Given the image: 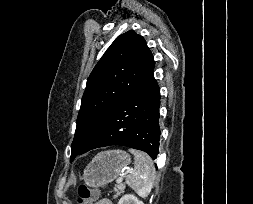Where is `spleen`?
Here are the masks:
<instances>
[{"label": "spleen", "instance_id": "spleen-1", "mask_svg": "<svg viewBox=\"0 0 253 204\" xmlns=\"http://www.w3.org/2000/svg\"><path fill=\"white\" fill-rule=\"evenodd\" d=\"M135 157L134 170L126 177V183L140 196L147 197L155 179V168L151 157L135 149H129Z\"/></svg>", "mask_w": 253, "mask_h": 204}]
</instances>
